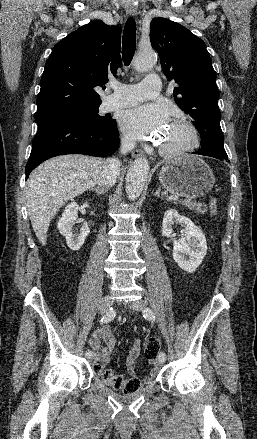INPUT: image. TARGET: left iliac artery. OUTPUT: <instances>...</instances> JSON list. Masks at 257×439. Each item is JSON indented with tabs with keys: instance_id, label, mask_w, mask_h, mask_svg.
Listing matches in <instances>:
<instances>
[{
	"instance_id": "obj_1",
	"label": "left iliac artery",
	"mask_w": 257,
	"mask_h": 439,
	"mask_svg": "<svg viewBox=\"0 0 257 439\" xmlns=\"http://www.w3.org/2000/svg\"><path fill=\"white\" fill-rule=\"evenodd\" d=\"M144 318H146L149 321H155V316L150 308H146L143 312ZM159 359L165 361L166 360V354L164 352L159 353Z\"/></svg>"
}]
</instances>
